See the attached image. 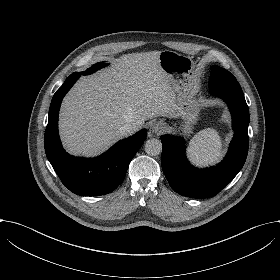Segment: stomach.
I'll list each match as a JSON object with an SVG mask.
<instances>
[{
	"instance_id": "obj_1",
	"label": "stomach",
	"mask_w": 280,
	"mask_h": 280,
	"mask_svg": "<svg viewBox=\"0 0 280 280\" xmlns=\"http://www.w3.org/2000/svg\"><path fill=\"white\" fill-rule=\"evenodd\" d=\"M158 59L159 67L175 93V111L179 119L175 131L189 139L200 120L199 104L195 97L198 90L195 62L190 56L172 50L160 51ZM168 132H172L171 127H168Z\"/></svg>"
}]
</instances>
